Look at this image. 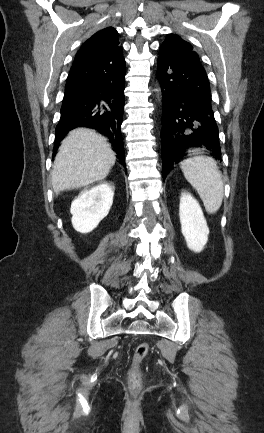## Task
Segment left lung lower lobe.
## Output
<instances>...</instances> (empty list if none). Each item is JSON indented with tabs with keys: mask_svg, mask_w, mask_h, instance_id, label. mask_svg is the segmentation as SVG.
<instances>
[{
	"mask_svg": "<svg viewBox=\"0 0 264 433\" xmlns=\"http://www.w3.org/2000/svg\"><path fill=\"white\" fill-rule=\"evenodd\" d=\"M157 77L163 89L161 151L163 179L187 149L204 147L221 160L210 84L201 65L160 54Z\"/></svg>",
	"mask_w": 264,
	"mask_h": 433,
	"instance_id": "left-lung-lower-lobe-1",
	"label": "left lung lower lobe"
}]
</instances>
